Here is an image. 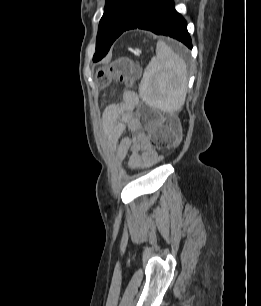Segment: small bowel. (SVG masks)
Instances as JSON below:
<instances>
[{
  "label": "small bowel",
  "mask_w": 261,
  "mask_h": 306,
  "mask_svg": "<svg viewBox=\"0 0 261 306\" xmlns=\"http://www.w3.org/2000/svg\"><path fill=\"white\" fill-rule=\"evenodd\" d=\"M138 102L135 92H125L123 100L107 110L103 125L108 150L115 154L118 161L128 158V169L131 171L153 166L161 159L133 113ZM123 129L129 132V136L120 138Z\"/></svg>",
  "instance_id": "obj_1"
}]
</instances>
